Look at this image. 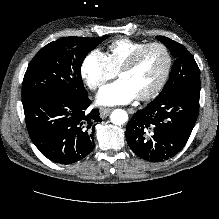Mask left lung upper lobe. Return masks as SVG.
I'll return each instance as SVG.
<instances>
[{
  "instance_id": "1",
  "label": "left lung upper lobe",
  "mask_w": 219,
  "mask_h": 219,
  "mask_svg": "<svg viewBox=\"0 0 219 219\" xmlns=\"http://www.w3.org/2000/svg\"><path fill=\"white\" fill-rule=\"evenodd\" d=\"M157 39L166 45L176 58L168 82L156 98H163L187 86H200V71L193 56L176 41L164 36Z\"/></svg>"
}]
</instances>
